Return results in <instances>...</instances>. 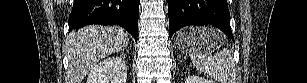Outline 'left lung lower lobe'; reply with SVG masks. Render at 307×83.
<instances>
[{
  "label": "left lung lower lobe",
  "mask_w": 307,
  "mask_h": 83,
  "mask_svg": "<svg viewBox=\"0 0 307 83\" xmlns=\"http://www.w3.org/2000/svg\"><path fill=\"white\" fill-rule=\"evenodd\" d=\"M169 36L189 25H212L234 40L226 0H168Z\"/></svg>",
  "instance_id": "1"
}]
</instances>
